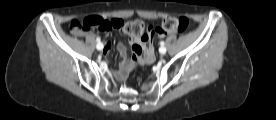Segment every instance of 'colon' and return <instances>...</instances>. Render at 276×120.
Wrapping results in <instances>:
<instances>
[{"mask_svg":"<svg viewBox=\"0 0 276 120\" xmlns=\"http://www.w3.org/2000/svg\"><path fill=\"white\" fill-rule=\"evenodd\" d=\"M190 26L189 18L181 17H167L162 22V27L156 31L159 36H164L169 33H183ZM98 28L102 32H110L118 30L122 34L131 39H138L145 41L150 35V29H147L144 22L140 19H135L127 22L112 23L111 20H105L98 16H91L82 20H72L68 26V30L72 35H80L81 33ZM140 53L141 49L136 48Z\"/></svg>","mask_w":276,"mask_h":120,"instance_id":"colon-1","label":"colon"}]
</instances>
